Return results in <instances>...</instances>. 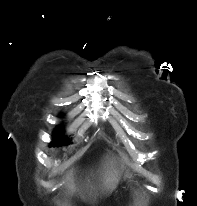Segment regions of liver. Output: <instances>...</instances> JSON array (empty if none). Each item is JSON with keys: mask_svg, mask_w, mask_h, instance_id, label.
<instances>
[{"mask_svg": "<svg viewBox=\"0 0 197 206\" xmlns=\"http://www.w3.org/2000/svg\"><path fill=\"white\" fill-rule=\"evenodd\" d=\"M116 164H117L116 161L112 159L104 167L105 170L102 174L103 185L104 188L108 191H111L115 187L120 177V170ZM69 180H70L69 188L74 189V185L71 183V179Z\"/></svg>", "mask_w": 197, "mask_h": 206, "instance_id": "1", "label": "liver"}]
</instances>
